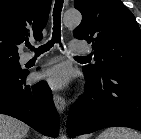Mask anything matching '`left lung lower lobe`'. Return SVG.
Instances as JSON below:
<instances>
[{"label": "left lung lower lobe", "instance_id": "obj_1", "mask_svg": "<svg viewBox=\"0 0 141 139\" xmlns=\"http://www.w3.org/2000/svg\"><path fill=\"white\" fill-rule=\"evenodd\" d=\"M83 72L84 94L70 109L67 134L74 137L111 126L141 131V71Z\"/></svg>", "mask_w": 141, "mask_h": 139}]
</instances>
